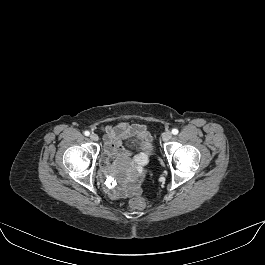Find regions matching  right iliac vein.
<instances>
[{"instance_id":"63e3f726","label":"right iliac vein","mask_w":265,"mask_h":265,"mask_svg":"<svg viewBox=\"0 0 265 265\" xmlns=\"http://www.w3.org/2000/svg\"><path fill=\"white\" fill-rule=\"evenodd\" d=\"M90 139L92 140V141H98V135L97 134H95V133H92V134H90Z\"/></svg>"}]
</instances>
